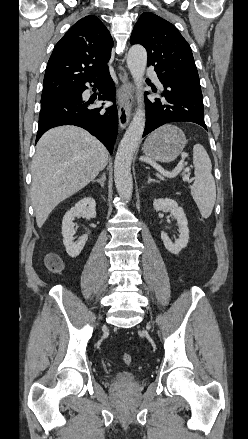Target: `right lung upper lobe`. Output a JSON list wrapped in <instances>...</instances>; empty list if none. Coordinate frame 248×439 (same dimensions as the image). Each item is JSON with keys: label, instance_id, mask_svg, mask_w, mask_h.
Returning <instances> with one entry per match:
<instances>
[{"label": "right lung upper lobe", "instance_id": "right-lung-upper-lobe-1", "mask_svg": "<svg viewBox=\"0 0 248 439\" xmlns=\"http://www.w3.org/2000/svg\"><path fill=\"white\" fill-rule=\"evenodd\" d=\"M112 46L109 31L96 16L77 21L54 47L41 97L58 96L106 71Z\"/></svg>", "mask_w": 248, "mask_h": 439}]
</instances>
